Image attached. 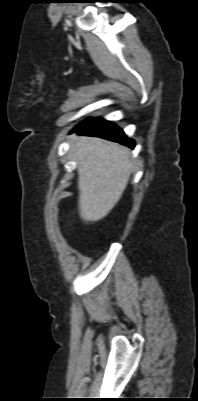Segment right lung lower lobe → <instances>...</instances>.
I'll use <instances>...</instances> for the list:
<instances>
[{"mask_svg": "<svg viewBox=\"0 0 198 401\" xmlns=\"http://www.w3.org/2000/svg\"><path fill=\"white\" fill-rule=\"evenodd\" d=\"M73 131L82 135L96 136L119 142L130 148L135 146L134 141L127 138L121 129L101 118L87 120L75 127Z\"/></svg>", "mask_w": 198, "mask_h": 401, "instance_id": "obj_1", "label": "right lung lower lobe"}]
</instances>
